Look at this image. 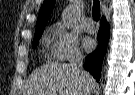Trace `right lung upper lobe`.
I'll use <instances>...</instances> for the list:
<instances>
[{"label":"right lung upper lobe","instance_id":"right-lung-upper-lobe-1","mask_svg":"<svg viewBox=\"0 0 135 95\" xmlns=\"http://www.w3.org/2000/svg\"><path fill=\"white\" fill-rule=\"evenodd\" d=\"M54 3H55V0H45V2L43 3L39 16H38V19H37L35 33L44 31L46 22L54 7Z\"/></svg>","mask_w":135,"mask_h":95}]
</instances>
